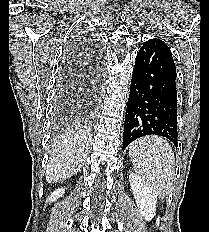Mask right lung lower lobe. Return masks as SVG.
Segmentation results:
<instances>
[{
    "instance_id": "obj_1",
    "label": "right lung lower lobe",
    "mask_w": 209,
    "mask_h": 232,
    "mask_svg": "<svg viewBox=\"0 0 209 232\" xmlns=\"http://www.w3.org/2000/svg\"><path fill=\"white\" fill-rule=\"evenodd\" d=\"M99 53H100L99 48L96 46H90V47L81 46L74 53H72L70 60H76L80 62L86 61L89 64L92 63L96 65L98 69V73H101V66H100L101 59Z\"/></svg>"
}]
</instances>
